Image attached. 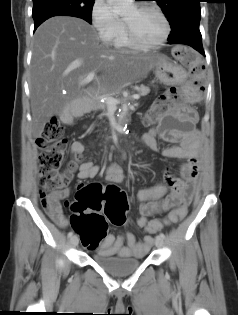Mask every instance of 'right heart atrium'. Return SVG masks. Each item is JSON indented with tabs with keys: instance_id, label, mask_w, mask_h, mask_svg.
Returning <instances> with one entry per match:
<instances>
[{
	"instance_id": "right-heart-atrium-1",
	"label": "right heart atrium",
	"mask_w": 238,
	"mask_h": 315,
	"mask_svg": "<svg viewBox=\"0 0 238 315\" xmlns=\"http://www.w3.org/2000/svg\"><path fill=\"white\" fill-rule=\"evenodd\" d=\"M90 20L100 39L105 42H111L122 26V21L113 13L106 0H93Z\"/></svg>"
}]
</instances>
